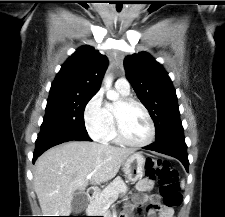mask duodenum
Returning <instances> with one entry per match:
<instances>
[{"label":"duodenum","mask_w":225,"mask_h":217,"mask_svg":"<svg viewBox=\"0 0 225 217\" xmlns=\"http://www.w3.org/2000/svg\"><path fill=\"white\" fill-rule=\"evenodd\" d=\"M86 195H87V199L89 201H92L95 197V192H94V190L90 189L87 191Z\"/></svg>","instance_id":"410a0bca"}]
</instances>
